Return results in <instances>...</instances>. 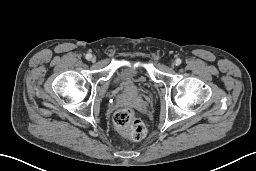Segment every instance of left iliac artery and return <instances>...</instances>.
Here are the masks:
<instances>
[{"mask_svg": "<svg viewBox=\"0 0 256 171\" xmlns=\"http://www.w3.org/2000/svg\"><path fill=\"white\" fill-rule=\"evenodd\" d=\"M182 63V60L180 58L176 59V65H180Z\"/></svg>", "mask_w": 256, "mask_h": 171, "instance_id": "44dca946", "label": "left iliac artery"}]
</instances>
